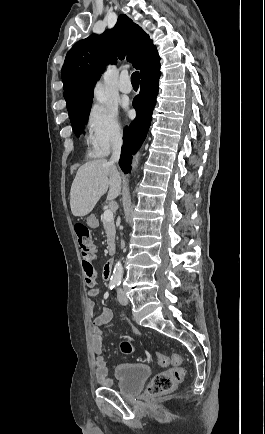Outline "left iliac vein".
I'll return each instance as SVG.
<instances>
[{"label":"left iliac vein","mask_w":265,"mask_h":434,"mask_svg":"<svg viewBox=\"0 0 265 434\" xmlns=\"http://www.w3.org/2000/svg\"><path fill=\"white\" fill-rule=\"evenodd\" d=\"M117 297H118L120 304H122V305L128 304V299L126 297V294L123 291L118 289L117 290Z\"/></svg>","instance_id":"obj_1"}]
</instances>
